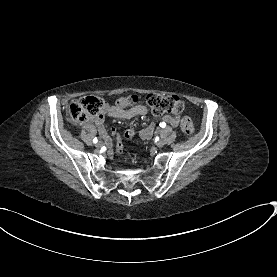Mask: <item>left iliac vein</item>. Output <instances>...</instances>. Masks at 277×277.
I'll return each instance as SVG.
<instances>
[{
	"instance_id": "obj_1",
	"label": "left iliac vein",
	"mask_w": 277,
	"mask_h": 277,
	"mask_svg": "<svg viewBox=\"0 0 277 277\" xmlns=\"http://www.w3.org/2000/svg\"><path fill=\"white\" fill-rule=\"evenodd\" d=\"M164 144H165L164 140H163V139H160V140L157 142V144H156V145H157L158 147H160V148H161V147H163V146H164Z\"/></svg>"
}]
</instances>
